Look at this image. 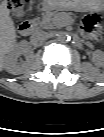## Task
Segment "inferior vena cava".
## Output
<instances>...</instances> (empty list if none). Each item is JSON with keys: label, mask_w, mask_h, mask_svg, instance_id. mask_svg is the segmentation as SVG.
Segmentation results:
<instances>
[{"label": "inferior vena cava", "mask_w": 104, "mask_h": 137, "mask_svg": "<svg viewBox=\"0 0 104 137\" xmlns=\"http://www.w3.org/2000/svg\"><path fill=\"white\" fill-rule=\"evenodd\" d=\"M48 37V34L44 31H40V30H36L32 36H31V40L33 43H37L40 42L44 39H46Z\"/></svg>", "instance_id": "obj_1"}]
</instances>
